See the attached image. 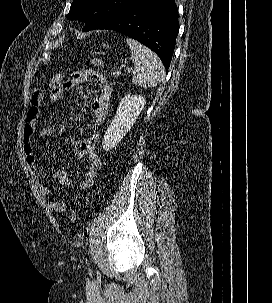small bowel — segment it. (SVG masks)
I'll return each mask as SVG.
<instances>
[{"mask_svg":"<svg viewBox=\"0 0 272 303\" xmlns=\"http://www.w3.org/2000/svg\"><path fill=\"white\" fill-rule=\"evenodd\" d=\"M92 80L98 87V95L93 102L92 110L94 114L95 130L84 139H75L70 141V146L77 156L86 158L88 167L84 178L79 182L78 188L87 190L91 188L97 177V173L101 168V159L97 153V145L100 139L99 127L106 120L112 99V90L106 78L94 70H81L75 72L64 84L65 90H71L82 83ZM45 91L42 89L36 90L31 97L30 107L28 109L25 125L23 130V150L25 159L29 168V172L33 182L39 190L42 197L48 199L50 209L56 213H63L66 210V202L60 199H50L51 188L45 184L41 178L37 168V158L35 154V142L37 139V122L40 115V110L44 101ZM51 127L42 130L40 136H48L52 134ZM55 183L63 188L71 184V179L68 174L61 169L53 173Z\"/></svg>","mask_w":272,"mask_h":303,"instance_id":"small-bowel-1","label":"small bowel"}]
</instances>
